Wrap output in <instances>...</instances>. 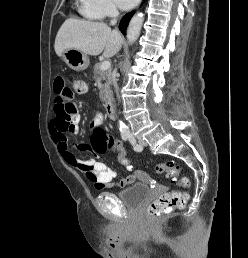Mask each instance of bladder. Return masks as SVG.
<instances>
[{
    "label": "bladder",
    "instance_id": "obj_1",
    "mask_svg": "<svg viewBox=\"0 0 248 258\" xmlns=\"http://www.w3.org/2000/svg\"><path fill=\"white\" fill-rule=\"evenodd\" d=\"M149 195V187L143 183H135L116 194V197L130 209H137Z\"/></svg>",
    "mask_w": 248,
    "mask_h": 258
}]
</instances>
